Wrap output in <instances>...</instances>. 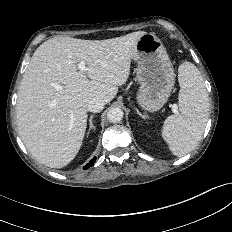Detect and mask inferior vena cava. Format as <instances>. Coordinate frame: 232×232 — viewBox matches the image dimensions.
<instances>
[{
  "label": "inferior vena cava",
  "instance_id": "inferior-vena-cava-1",
  "mask_svg": "<svg viewBox=\"0 0 232 232\" xmlns=\"http://www.w3.org/2000/svg\"><path fill=\"white\" fill-rule=\"evenodd\" d=\"M104 105H105L104 100L102 98L96 96V97H93L88 102L87 108H88V111L97 113V112H100L101 110H103Z\"/></svg>",
  "mask_w": 232,
  "mask_h": 232
}]
</instances>
